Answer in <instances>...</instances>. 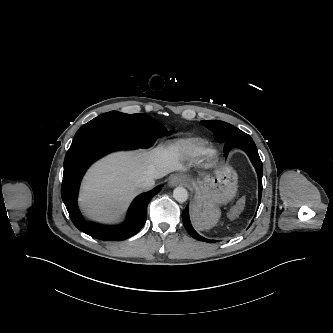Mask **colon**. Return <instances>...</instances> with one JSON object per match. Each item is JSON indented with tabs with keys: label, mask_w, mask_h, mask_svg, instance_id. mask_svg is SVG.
Here are the masks:
<instances>
[{
	"label": "colon",
	"mask_w": 333,
	"mask_h": 333,
	"mask_svg": "<svg viewBox=\"0 0 333 333\" xmlns=\"http://www.w3.org/2000/svg\"><path fill=\"white\" fill-rule=\"evenodd\" d=\"M246 201L244 198H241L240 200L237 201V203L235 204V206L231 209L229 215L231 218H235L237 217L240 212L243 210V208L245 207Z\"/></svg>",
	"instance_id": "obj_1"
}]
</instances>
